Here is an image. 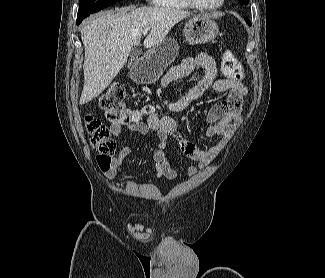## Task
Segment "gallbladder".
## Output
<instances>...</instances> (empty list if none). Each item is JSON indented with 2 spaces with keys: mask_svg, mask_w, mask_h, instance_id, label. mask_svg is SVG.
<instances>
[{
  "mask_svg": "<svg viewBox=\"0 0 325 278\" xmlns=\"http://www.w3.org/2000/svg\"><path fill=\"white\" fill-rule=\"evenodd\" d=\"M141 55V50L138 47H135L131 50L130 56H131V63H129L128 68L131 69L132 62L136 61Z\"/></svg>",
  "mask_w": 325,
  "mask_h": 278,
  "instance_id": "bac80fb5",
  "label": "gallbladder"
}]
</instances>
